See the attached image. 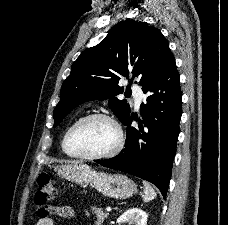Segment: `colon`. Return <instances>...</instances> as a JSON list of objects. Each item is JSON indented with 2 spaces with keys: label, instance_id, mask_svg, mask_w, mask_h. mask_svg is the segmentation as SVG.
Returning a JSON list of instances; mask_svg holds the SVG:
<instances>
[{
  "label": "colon",
  "instance_id": "1",
  "mask_svg": "<svg viewBox=\"0 0 228 225\" xmlns=\"http://www.w3.org/2000/svg\"><path fill=\"white\" fill-rule=\"evenodd\" d=\"M56 193L54 181L46 174H40L38 178V187L35 193V202L43 205L49 198Z\"/></svg>",
  "mask_w": 228,
  "mask_h": 225
}]
</instances>
